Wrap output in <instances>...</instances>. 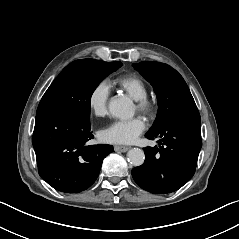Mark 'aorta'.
Listing matches in <instances>:
<instances>
[{
    "label": "aorta",
    "mask_w": 239,
    "mask_h": 239,
    "mask_svg": "<svg viewBox=\"0 0 239 239\" xmlns=\"http://www.w3.org/2000/svg\"><path fill=\"white\" fill-rule=\"evenodd\" d=\"M109 111L113 117L127 120L134 116L135 108L133 101L130 98L127 96H119L110 101ZM127 157L134 166H140L144 162L145 154L143 150L133 148L127 152Z\"/></svg>",
    "instance_id": "obj_1"
}]
</instances>
